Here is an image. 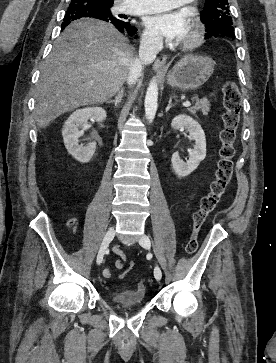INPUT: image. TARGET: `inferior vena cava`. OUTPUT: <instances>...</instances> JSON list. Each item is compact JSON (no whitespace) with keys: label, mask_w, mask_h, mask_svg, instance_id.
I'll return each instance as SVG.
<instances>
[{"label":"inferior vena cava","mask_w":276,"mask_h":363,"mask_svg":"<svg viewBox=\"0 0 276 363\" xmlns=\"http://www.w3.org/2000/svg\"><path fill=\"white\" fill-rule=\"evenodd\" d=\"M163 49V39L157 34H144L142 36L139 57L131 61L127 82L129 85L135 84L141 76L144 65L152 63L156 55Z\"/></svg>","instance_id":"obj_1"}]
</instances>
